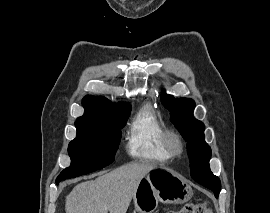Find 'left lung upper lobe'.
<instances>
[{"label": "left lung upper lobe", "instance_id": "obj_1", "mask_svg": "<svg viewBox=\"0 0 270 213\" xmlns=\"http://www.w3.org/2000/svg\"><path fill=\"white\" fill-rule=\"evenodd\" d=\"M161 100L170 111L172 123L187 141L191 176L218 196L221 183L210 170L211 148L204 140V124L193 117L195 102L189 98H174L165 92Z\"/></svg>", "mask_w": 270, "mask_h": 213}]
</instances>
